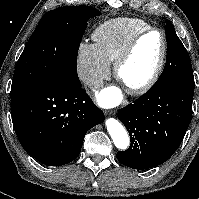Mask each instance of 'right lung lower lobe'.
Returning a JSON list of instances; mask_svg holds the SVG:
<instances>
[{"mask_svg":"<svg viewBox=\"0 0 199 199\" xmlns=\"http://www.w3.org/2000/svg\"><path fill=\"white\" fill-rule=\"evenodd\" d=\"M12 122L22 147L48 166L76 159L85 134L104 121L81 83L49 77L11 98Z\"/></svg>","mask_w":199,"mask_h":199,"instance_id":"1","label":"right lung lower lobe"}]
</instances>
